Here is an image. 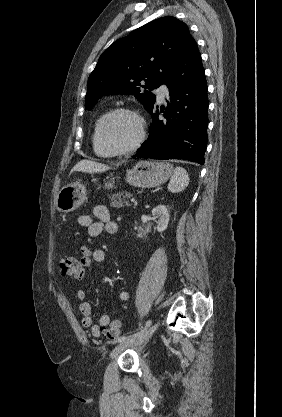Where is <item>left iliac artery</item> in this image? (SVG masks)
I'll return each instance as SVG.
<instances>
[{"instance_id":"44dca946","label":"left iliac artery","mask_w":282,"mask_h":417,"mask_svg":"<svg viewBox=\"0 0 282 417\" xmlns=\"http://www.w3.org/2000/svg\"><path fill=\"white\" fill-rule=\"evenodd\" d=\"M151 324H152V321L151 320H148L147 322H146V324H145V327L143 328V329H141L140 331H138V332H136V333H134V334H132V335H128V336H121V337H119L118 339H117V342H122V341H125V340H127V339H130V338H132V337H134V336H138V335H140V334H142L143 332H145L150 326H151Z\"/></svg>"}]
</instances>
